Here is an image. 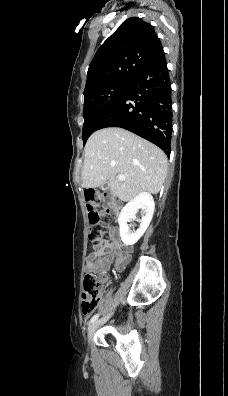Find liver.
I'll list each match as a JSON object with an SVG mask.
<instances>
[{"label": "liver", "instance_id": "6515ba94", "mask_svg": "<svg viewBox=\"0 0 228 396\" xmlns=\"http://www.w3.org/2000/svg\"><path fill=\"white\" fill-rule=\"evenodd\" d=\"M82 187L96 188L108 181L121 201L142 192L157 194L167 175V157L151 142L118 127L94 132L85 148ZM118 175H125L120 181Z\"/></svg>", "mask_w": 228, "mask_h": 396}]
</instances>
